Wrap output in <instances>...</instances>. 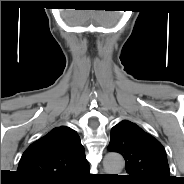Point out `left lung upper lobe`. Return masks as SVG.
I'll use <instances>...</instances> for the list:
<instances>
[{
	"instance_id": "5c2ea615",
	"label": "left lung upper lobe",
	"mask_w": 184,
	"mask_h": 184,
	"mask_svg": "<svg viewBox=\"0 0 184 184\" xmlns=\"http://www.w3.org/2000/svg\"><path fill=\"white\" fill-rule=\"evenodd\" d=\"M109 151L126 160L125 178L131 184H169L172 181L162 144L138 125L123 120L111 129Z\"/></svg>"
}]
</instances>
